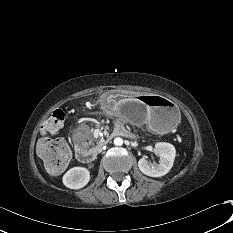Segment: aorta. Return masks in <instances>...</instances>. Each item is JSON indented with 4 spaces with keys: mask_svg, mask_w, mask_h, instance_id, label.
Returning a JSON list of instances; mask_svg holds the SVG:
<instances>
[{
    "mask_svg": "<svg viewBox=\"0 0 233 233\" xmlns=\"http://www.w3.org/2000/svg\"><path fill=\"white\" fill-rule=\"evenodd\" d=\"M114 144H115L116 146H121V145H123V139L120 138V137H116V138L114 139Z\"/></svg>",
    "mask_w": 233,
    "mask_h": 233,
    "instance_id": "1",
    "label": "aorta"
}]
</instances>
